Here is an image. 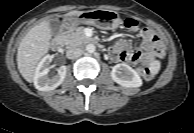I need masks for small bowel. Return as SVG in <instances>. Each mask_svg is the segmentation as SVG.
I'll return each mask as SVG.
<instances>
[{"mask_svg": "<svg viewBox=\"0 0 194 133\" xmlns=\"http://www.w3.org/2000/svg\"><path fill=\"white\" fill-rule=\"evenodd\" d=\"M140 38L141 42L135 46L125 41L116 43L111 49L112 59L148 66L156 57L162 55L160 40L151 29L144 28L140 32Z\"/></svg>", "mask_w": 194, "mask_h": 133, "instance_id": "c3829d8e", "label": "small bowel"}]
</instances>
